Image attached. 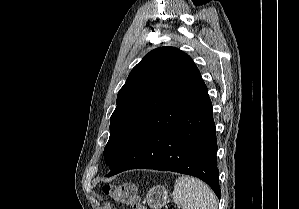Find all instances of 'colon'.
<instances>
[{
	"mask_svg": "<svg viewBox=\"0 0 299 209\" xmlns=\"http://www.w3.org/2000/svg\"><path fill=\"white\" fill-rule=\"evenodd\" d=\"M102 192L115 201L132 203V209H145L138 200L136 187L131 183L105 184Z\"/></svg>",
	"mask_w": 299,
	"mask_h": 209,
	"instance_id": "obj_1",
	"label": "colon"
}]
</instances>
